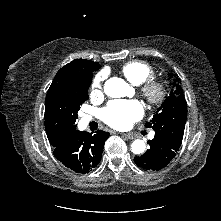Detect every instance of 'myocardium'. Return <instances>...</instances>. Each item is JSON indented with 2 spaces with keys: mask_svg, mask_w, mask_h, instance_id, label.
<instances>
[{
  "mask_svg": "<svg viewBox=\"0 0 221 221\" xmlns=\"http://www.w3.org/2000/svg\"><path fill=\"white\" fill-rule=\"evenodd\" d=\"M141 93L149 105L160 106L167 98L168 87L163 80L151 79L142 85Z\"/></svg>",
  "mask_w": 221,
  "mask_h": 221,
  "instance_id": "obj_1",
  "label": "myocardium"
}]
</instances>
